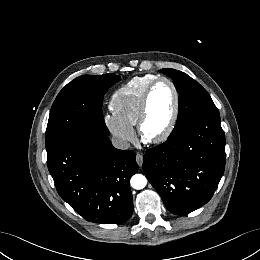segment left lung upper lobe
I'll list each match as a JSON object with an SVG mask.
<instances>
[{
    "mask_svg": "<svg viewBox=\"0 0 260 260\" xmlns=\"http://www.w3.org/2000/svg\"><path fill=\"white\" fill-rule=\"evenodd\" d=\"M160 72L174 80V85L179 93L178 118L171 136L195 119L219 115L210 95L197 81L174 69H162Z\"/></svg>",
    "mask_w": 260,
    "mask_h": 260,
    "instance_id": "left-lung-upper-lobe-1",
    "label": "left lung upper lobe"
}]
</instances>
